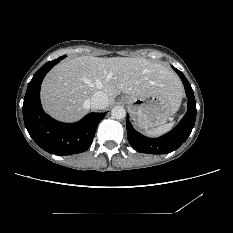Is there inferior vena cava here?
I'll return each mask as SVG.
<instances>
[{
    "mask_svg": "<svg viewBox=\"0 0 233 233\" xmlns=\"http://www.w3.org/2000/svg\"><path fill=\"white\" fill-rule=\"evenodd\" d=\"M89 105L91 109H104L108 105V98L102 91H97L92 96Z\"/></svg>",
    "mask_w": 233,
    "mask_h": 233,
    "instance_id": "obj_1",
    "label": "inferior vena cava"
}]
</instances>
